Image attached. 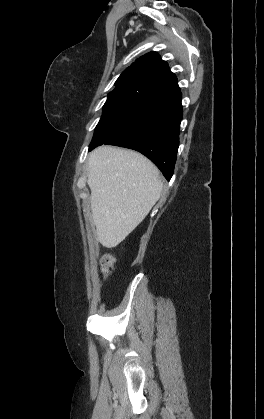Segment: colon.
Listing matches in <instances>:
<instances>
[{"mask_svg":"<svg viewBox=\"0 0 264 419\" xmlns=\"http://www.w3.org/2000/svg\"><path fill=\"white\" fill-rule=\"evenodd\" d=\"M115 262V258L113 255L111 254H106L103 256L102 261H101V265H102V271L104 273L105 276H107L111 270V268L113 267Z\"/></svg>","mask_w":264,"mask_h":419,"instance_id":"obj_1","label":"colon"}]
</instances>
